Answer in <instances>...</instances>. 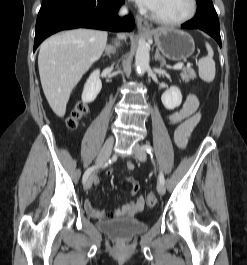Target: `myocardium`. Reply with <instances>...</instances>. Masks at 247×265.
<instances>
[{"mask_svg": "<svg viewBox=\"0 0 247 265\" xmlns=\"http://www.w3.org/2000/svg\"><path fill=\"white\" fill-rule=\"evenodd\" d=\"M190 10L189 12L184 15L181 18L178 19H166L163 18L157 14H155L153 11H149V15L150 17L157 23L161 24V25H165V26H179L182 24H185L187 22H189L190 20H192L195 15L198 12V7H199V3L198 0H190Z\"/></svg>", "mask_w": 247, "mask_h": 265, "instance_id": "f54148a6", "label": "myocardium"}]
</instances>
